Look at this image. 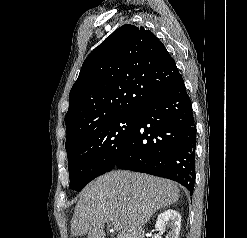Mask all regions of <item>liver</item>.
<instances>
[{"label":"liver","mask_w":247,"mask_h":238,"mask_svg":"<svg viewBox=\"0 0 247 238\" xmlns=\"http://www.w3.org/2000/svg\"><path fill=\"white\" fill-rule=\"evenodd\" d=\"M179 197V188L167 179L111 171L91 181L79 194L71 234L105 238V223L118 222L121 229L117 238H143V226L151 216Z\"/></svg>","instance_id":"6515ba94"}]
</instances>
